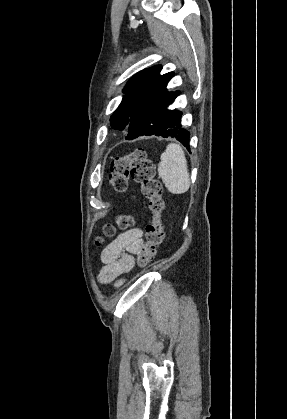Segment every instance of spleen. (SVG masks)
<instances>
[{
  "label": "spleen",
  "mask_w": 287,
  "mask_h": 419,
  "mask_svg": "<svg viewBox=\"0 0 287 419\" xmlns=\"http://www.w3.org/2000/svg\"><path fill=\"white\" fill-rule=\"evenodd\" d=\"M158 173L172 194H183L190 187L185 153L179 144L170 143L161 154Z\"/></svg>",
  "instance_id": "1"
}]
</instances>
